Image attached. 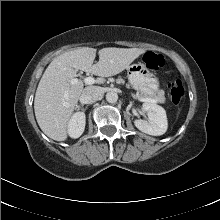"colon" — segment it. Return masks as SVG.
I'll return each instance as SVG.
<instances>
[{"label": "colon", "instance_id": "5ec220e1", "mask_svg": "<svg viewBox=\"0 0 220 220\" xmlns=\"http://www.w3.org/2000/svg\"><path fill=\"white\" fill-rule=\"evenodd\" d=\"M143 62L146 67L152 70H158L167 64L166 58L156 52H147L143 56ZM184 96V88L179 79L175 78L169 84V97L173 104L177 105L181 102Z\"/></svg>", "mask_w": 220, "mask_h": 220}]
</instances>
